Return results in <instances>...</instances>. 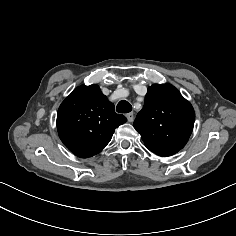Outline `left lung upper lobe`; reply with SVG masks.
<instances>
[{
	"label": "left lung upper lobe",
	"mask_w": 236,
	"mask_h": 236,
	"mask_svg": "<svg viewBox=\"0 0 236 236\" xmlns=\"http://www.w3.org/2000/svg\"><path fill=\"white\" fill-rule=\"evenodd\" d=\"M195 122V112L180 92L170 84H153L137 114L134 128L145 146L159 156H171L187 143Z\"/></svg>",
	"instance_id": "left-lung-upper-lobe-1"
}]
</instances>
